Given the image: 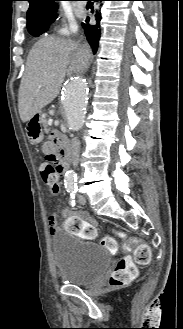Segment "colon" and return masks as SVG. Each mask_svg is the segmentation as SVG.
<instances>
[{"label":"colon","instance_id":"colon-1","mask_svg":"<svg viewBox=\"0 0 183 329\" xmlns=\"http://www.w3.org/2000/svg\"><path fill=\"white\" fill-rule=\"evenodd\" d=\"M40 174L43 182L50 187L53 194L57 195L61 191V178L63 168L56 159L55 155L48 154L40 164ZM71 220H80L73 218ZM82 237V236H81ZM103 247L111 252L116 251V242L111 237L101 239ZM151 260V250L146 243H135L133 257L124 256L117 262L109 278V284L112 287H121L132 281L137 274L136 264L146 265Z\"/></svg>","mask_w":183,"mask_h":329}]
</instances>
